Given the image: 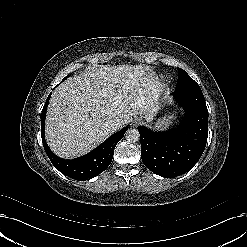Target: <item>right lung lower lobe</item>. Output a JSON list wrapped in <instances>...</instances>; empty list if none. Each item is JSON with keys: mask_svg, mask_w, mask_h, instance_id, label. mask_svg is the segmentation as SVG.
Segmentation results:
<instances>
[{"mask_svg": "<svg viewBox=\"0 0 247 247\" xmlns=\"http://www.w3.org/2000/svg\"><path fill=\"white\" fill-rule=\"evenodd\" d=\"M50 95L48 96L41 113V137L46 154L55 168L70 178L85 181L96 177L110 165L114 148L123 138L128 127L126 126L119 132L113 134L96 149L84 156L72 160L59 158L49 149L44 136V123Z\"/></svg>", "mask_w": 247, "mask_h": 247, "instance_id": "right-lung-lower-lobe-1", "label": "right lung lower lobe"}]
</instances>
